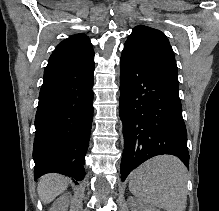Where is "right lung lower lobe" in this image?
Returning <instances> with one entry per match:
<instances>
[{
    "mask_svg": "<svg viewBox=\"0 0 219 211\" xmlns=\"http://www.w3.org/2000/svg\"><path fill=\"white\" fill-rule=\"evenodd\" d=\"M93 72L94 59L46 66L35 117V179L50 172L77 181L84 178L93 118Z\"/></svg>",
    "mask_w": 219,
    "mask_h": 211,
    "instance_id": "obj_1",
    "label": "right lung lower lobe"
}]
</instances>
